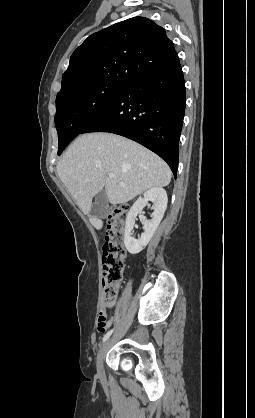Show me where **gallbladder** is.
I'll return each mask as SVG.
<instances>
[{"label": "gallbladder", "instance_id": "bac80fb5", "mask_svg": "<svg viewBox=\"0 0 255 418\" xmlns=\"http://www.w3.org/2000/svg\"><path fill=\"white\" fill-rule=\"evenodd\" d=\"M108 196L103 189L95 196L94 204L91 207L89 214L93 217H102L107 213Z\"/></svg>", "mask_w": 255, "mask_h": 418}]
</instances>
